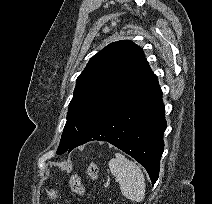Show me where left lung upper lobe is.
Masks as SVG:
<instances>
[{"instance_id":"obj_1","label":"left lung upper lobe","mask_w":212,"mask_h":204,"mask_svg":"<svg viewBox=\"0 0 212 204\" xmlns=\"http://www.w3.org/2000/svg\"><path fill=\"white\" fill-rule=\"evenodd\" d=\"M152 75L142 49L128 40L111 43L93 56L77 78L57 154L70 152L81 133Z\"/></svg>"}]
</instances>
